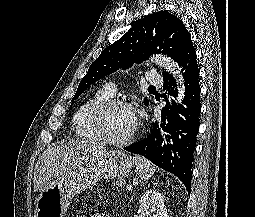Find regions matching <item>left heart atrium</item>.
Here are the masks:
<instances>
[{
    "label": "left heart atrium",
    "instance_id": "39dd6f15",
    "mask_svg": "<svg viewBox=\"0 0 255 217\" xmlns=\"http://www.w3.org/2000/svg\"><path fill=\"white\" fill-rule=\"evenodd\" d=\"M134 116H135V119L137 120V116H136V114L134 113Z\"/></svg>",
    "mask_w": 255,
    "mask_h": 217
}]
</instances>
